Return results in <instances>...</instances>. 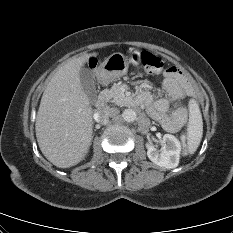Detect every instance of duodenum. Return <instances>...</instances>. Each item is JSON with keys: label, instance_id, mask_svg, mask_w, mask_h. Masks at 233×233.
Returning a JSON list of instances; mask_svg holds the SVG:
<instances>
[{"label": "duodenum", "instance_id": "1", "mask_svg": "<svg viewBox=\"0 0 233 233\" xmlns=\"http://www.w3.org/2000/svg\"><path fill=\"white\" fill-rule=\"evenodd\" d=\"M106 103H107V95L105 93H101L98 96L95 105L98 109H101L105 107Z\"/></svg>", "mask_w": 233, "mask_h": 233}]
</instances>
